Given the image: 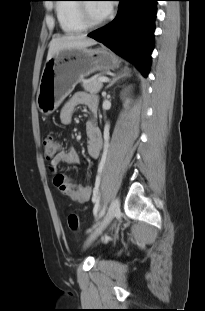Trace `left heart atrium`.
I'll return each mask as SVG.
<instances>
[{"instance_id": "39dd6f15", "label": "left heart atrium", "mask_w": 205, "mask_h": 311, "mask_svg": "<svg viewBox=\"0 0 205 311\" xmlns=\"http://www.w3.org/2000/svg\"><path fill=\"white\" fill-rule=\"evenodd\" d=\"M101 2H112V1H101ZM99 8L104 16H107L113 9V5L110 3H100Z\"/></svg>"}]
</instances>
